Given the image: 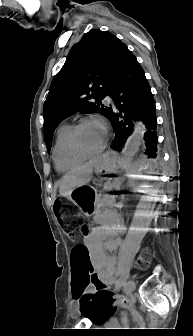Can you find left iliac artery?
I'll return each mask as SVG.
<instances>
[{"label": "left iliac artery", "mask_w": 193, "mask_h": 336, "mask_svg": "<svg viewBox=\"0 0 193 336\" xmlns=\"http://www.w3.org/2000/svg\"><path fill=\"white\" fill-rule=\"evenodd\" d=\"M123 282H124V280L122 278H119L118 281L116 282L115 289L116 290L120 289Z\"/></svg>", "instance_id": "obj_1"}]
</instances>
